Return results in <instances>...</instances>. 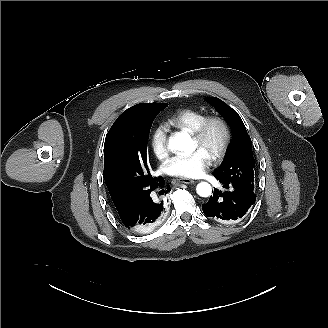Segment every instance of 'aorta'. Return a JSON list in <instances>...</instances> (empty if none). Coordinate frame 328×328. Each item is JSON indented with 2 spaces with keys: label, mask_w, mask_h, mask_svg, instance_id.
Segmentation results:
<instances>
[{
  "label": "aorta",
  "mask_w": 328,
  "mask_h": 328,
  "mask_svg": "<svg viewBox=\"0 0 328 328\" xmlns=\"http://www.w3.org/2000/svg\"><path fill=\"white\" fill-rule=\"evenodd\" d=\"M168 148L173 153H192L195 145L189 134L179 132L170 137ZM196 192L201 197H208L212 193L211 185L207 182H201L196 187Z\"/></svg>",
  "instance_id": "762f6f07"
}]
</instances>
